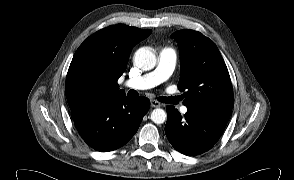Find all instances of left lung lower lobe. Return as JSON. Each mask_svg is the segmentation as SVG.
I'll return each instance as SVG.
<instances>
[{
  "label": "left lung lower lobe",
  "instance_id": "1",
  "mask_svg": "<svg viewBox=\"0 0 294 180\" xmlns=\"http://www.w3.org/2000/svg\"><path fill=\"white\" fill-rule=\"evenodd\" d=\"M181 116L174 106L167 107L166 136L171 145L186 155H199L221 137L232 113L231 108L186 105Z\"/></svg>",
  "mask_w": 294,
  "mask_h": 180
}]
</instances>
